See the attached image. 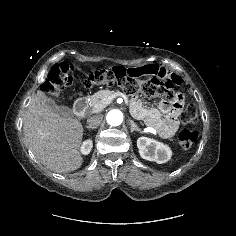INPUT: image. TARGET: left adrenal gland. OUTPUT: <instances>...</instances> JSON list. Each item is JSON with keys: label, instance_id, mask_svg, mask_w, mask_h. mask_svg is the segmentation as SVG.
<instances>
[{"label": "left adrenal gland", "instance_id": "left-adrenal-gland-1", "mask_svg": "<svg viewBox=\"0 0 236 236\" xmlns=\"http://www.w3.org/2000/svg\"><path fill=\"white\" fill-rule=\"evenodd\" d=\"M129 124L131 125V132L133 131L141 132V130L137 127L136 123H134L133 120L129 119Z\"/></svg>", "mask_w": 236, "mask_h": 236}]
</instances>
